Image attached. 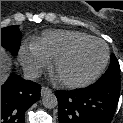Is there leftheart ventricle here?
Masks as SVG:
<instances>
[{"instance_id": "left-heart-ventricle-1", "label": "left heart ventricle", "mask_w": 123, "mask_h": 123, "mask_svg": "<svg viewBox=\"0 0 123 123\" xmlns=\"http://www.w3.org/2000/svg\"><path fill=\"white\" fill-rule=\"evenodd\" d=\"M104 55L105 50L101 44H86L60 65L58 74L66 80L86 79L97 71Z\"/></svg>"}]
</instances>
